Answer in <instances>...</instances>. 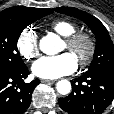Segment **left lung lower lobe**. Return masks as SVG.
I'll list each match as a JSON object with an SVG mask.
<instances>
[{"mask_svg": "<svg viewBox=\"0 0 114 114\" xmlns=\"http://www.w3.org/2000/svg\"><path fill=\"white\" fill-rule=\"evenodd\" d=\"M71 84L69 96L58 100L69 114H101L114 98V70L86 72Z\"/></svg>", "mask_w": 114, "mask_h": 114, "instance_id": "1", "label": "left lung lower lobe"}]
</instances>
